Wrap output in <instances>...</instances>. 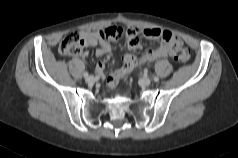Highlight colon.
Wrapping results in <instances>:
<instances>
[{"instance_id": "5ec220e1", "label": "colon", "mask_w": 238, "mask_h": 158, "mask_svg": "<svg viewBox=\"0 0 238 158\" xmlns=\"http://www.w3.org/2000/svg\"><path fill=\"white\" fill-rule=\"evenodd\" d=\"M113 29L107 28L100 31L103 39L108 40L116 37ZM84 39L78 32L68 33L62 40L59 46V53L63 56L80 55L84 48ZM173 58L179 63H186L190 59L189 51L180 43L174 44L171 50Z\"/></svg>"}]
</instances>
